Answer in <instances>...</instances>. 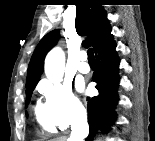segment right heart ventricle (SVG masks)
<instances>
[{
  "instance_id": "right-heart-ventricle-1",
  "label": "right heart ventricle",
  "mask_w": 155,
  "mask_h": 141,
  "mask_svg": "<svg viewBox=\"0 0 155 141\" xmlns=\"http://www.w3.org/2000/svg\"><path fill=\"white\" fill-rule=\"evenodd\" d=\"M35 114L37 122L42 129L49 133L55 132V124L51 120L45 106L38 104L35 108Z\"/></svg>"
}]
</instances>
